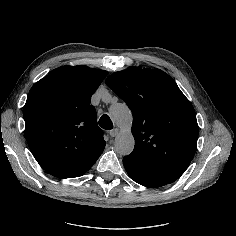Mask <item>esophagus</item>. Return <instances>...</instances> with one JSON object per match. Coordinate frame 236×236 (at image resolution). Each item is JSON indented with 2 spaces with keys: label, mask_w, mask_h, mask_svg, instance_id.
I'll return each instance as SVG.
<instances>
[{
  "label": "esophagus",
  "mask_w": 236,
  "mask_h": 236,
  "mask_svg": "<svg viewBox=\"0 0 236 236\" xmlns=\"http://www.w3.org/2000/svg\"><path fill=\"white\" fill-rule=\"evenodd\" d=\"M118 133H119V129L115 128V129L110 131V136L115 137Z\"/></svg>",
  "instance_id": "34e87169"
}]
</instances>
